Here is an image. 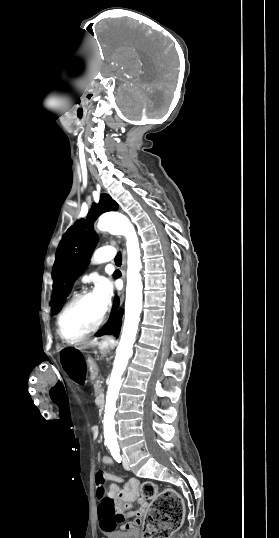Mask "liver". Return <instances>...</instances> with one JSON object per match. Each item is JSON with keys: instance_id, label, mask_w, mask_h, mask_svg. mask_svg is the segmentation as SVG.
Masks as SVG:
<instances>
[{"instance_id": "obj_1", "label": "liver", "mask_w": 279, "mask_h": 538, "mask_svg": "<svg viewBox=\"0 0 279 538\" xmlns=\"http://www.w3.org/2000/svg\"><path fill=\"white\" fill-rule=\"evenodd\" d=\"M86 346H98V342L97 340H91V342H89V344H86Z\"/></svg>"}]
</instances>
